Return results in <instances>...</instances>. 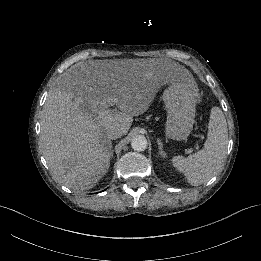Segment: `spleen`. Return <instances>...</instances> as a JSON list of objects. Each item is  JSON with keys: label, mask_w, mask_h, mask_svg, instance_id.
Returning <instances> with one entry per match:
<instances>
[{"label": "spleen", "mask_w": 261, "mask_h": 261, "mask_svg": "<svg viewBox=\"0 0 261 261\" xmlns=\"http://www.w3.org/2000/svg\"><path fill=\"white\" fill-rule=\"evenodd\" d=\"M228 128L220 108L214 107L208 124V138L204 150L185 158L177 155L171 158L173 168L184 175L192 186L209 181L223 168L227 154Z\"/></svg>", "instance_id": "1"}]
</instances>
